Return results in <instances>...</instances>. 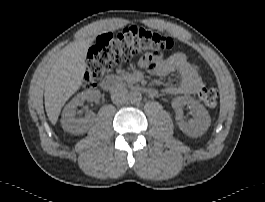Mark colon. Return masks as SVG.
Listing matches in <instances>:
<instances>
[{
  "mask_svg": "<svg viewBox=\"0 0 265 202\" xmlns=\"http://www.w3.org/2000/svg\"><path fill=\"white\" fill-rule=\"evenodd\" d=\"M175 42L168 36L141 27H128L117 33L100 35L90 48L86 59V88L96 87L115 64L129 63L136 59L146 68H154L160 52L171 51ZM199 98L208 108L217 105L216 87L203 88Z\"/></svg>",
  "mask_w": 265,
  "mask_h": 202,
  "instance_id": "1",
  "label": "colon"
}]
</instances>
